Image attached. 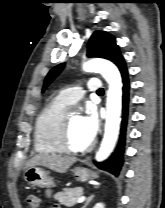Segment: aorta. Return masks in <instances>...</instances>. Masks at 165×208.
<instances>
[{"mask_svg":"<svg viewBox=\"0 0 165 208\" xmlns=\"http://www.w3.org/2000/svg\"><path fill=\"white\" fill-rule=\"evenodd\" d=\"M86 72L100 73L109 84L107 92V116L105 133L95 159L105 160L112 152L119 134L120 115L122 108V82L118 68L105 59H92L83 64Z\"/></svg>","mask_w":165,"mask_h":208,"instance_id":"obj_1","label":"aorta"}]
</instances>
